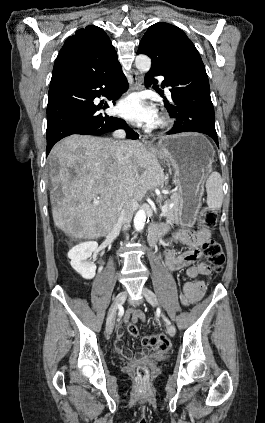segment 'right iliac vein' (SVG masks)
Masks as SVG:
<instances>
[{
  "label": "right iliac vein",
  "mask_w": 265,
  "mask_h": 423,
  "mask_svg": "<svg viewBox=\"0 0 265 423\" xmlns=\"http://www.w3.org/2000/svg\"><path fill=\"white\" fill-rule=\"evenodd\" d=\"M127 293L125 291L120 292L115 298L109 312L106 321V332L108 335L112 334L115 322V314L118 308L125 302Z\"/></svg>",
  "instance_id": "63e3f726"
}]
</instances>
